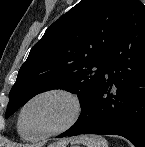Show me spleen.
<instances>
[{
    "label": "spleen",
    "mask_w": 145,
    "mask_h": 147,
    "mask_svg": "<svg viewBox=\"0 0 145 147\" xmlns=\"http://www.w3.org/2000/svg\"><path fill=\"white\" fill-rule=\"evenodd\" d=\"M78 143H82L86 147H108L107 140L102 136L84 135L77 138Z\"/></svg>",
    "instance_id": "3e777b00"
}]
</instances>
